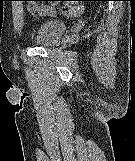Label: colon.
I'll use <instances>...</instances> for the list:
<instances>
[{
  "label": "colon",
  "mask_w": 135,
  "mask_h": 161,
  "mask_svg": "<svg viewBox=\"0 0 135 161\" xmlns=\"http://www.w3.org/2000/svg\"><path fill=\"white\" fill-rule=\"evenodd\" d=\"M56 3L63 2L61 12L67 17L79 16L83 12V7L74 0H50Z\"/></svg>",
  "instance_id": "obj_1"
}]
</instances>
